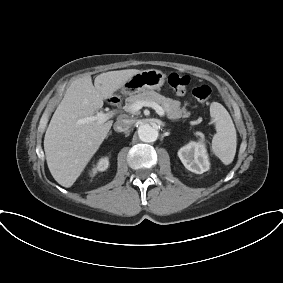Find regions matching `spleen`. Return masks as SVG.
<instances>
[{
	"label": "spleen",
	"instance_id": "1",
	"mask_svg": "<svg viewBox=\"0 0 283 283\" xmlns=\"http://www.w3.org/2000/svg\"><path fill=\"white\" fill-rule=\"evenodd\" d=\"M210 116L216 129V134L212 139V152L223 164L229 165L234 160L237 147V135L233 121L228 111L218 102L211 103Z\"/></svg>",
	"mask_w": 283,
	"mask_h": 283
}]
</instances>
